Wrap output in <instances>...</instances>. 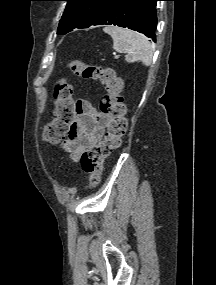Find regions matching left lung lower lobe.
<instances>
[{"mask_svg":"<svg viewBox=\"0 0 216 285\" xmlns=\"http://www.w3.org/2000/svg\"><path fill=\"white\" fill-rule=\"evenodd\" d=\"M157 1L160 0H112L90 26L113 24L127 27L155 41Z\"/></svg>","mask_w":216,"mask_h":285,"instance_id":"0a47b994","label":"left lung lower lobe"}]
</instances>
